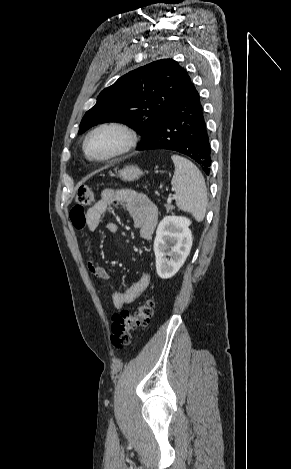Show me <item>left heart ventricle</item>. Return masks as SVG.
I'll list each match as a JSON object with an SVG mask.
<instances>
[{"label":"left heart ventricle","mask_w":291,"mask_h":469,"mask_svg":"<svg viewBox=\"0 0 291 469\" xmlns=\"http://www.w3.org/2000/svg\"><path fill=\"white\" fill-rule=\"evenodd\" d=\"M123 137L116 130L106 129L95 133L88 142L92 156L104 157L115 151L122 143Z\"/></svg>","instance_id":"obj_1"}]
</instances>
